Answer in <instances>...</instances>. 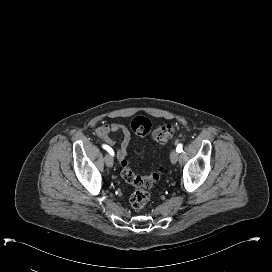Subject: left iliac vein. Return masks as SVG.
Listing matches in <instances>:
<instances>
[{
	"label": "left iliac vein",
	"mask_w": 272,
	"mask_h": 272,
	"mask_svg": "<svg viewBox=\"0 0 272 272\" xmlns=\"http://www.w3.org/2000/svg\"><path fill=\"white\" fill-rule=\"evenodd\" d=\"M179 153L176 150H173L170 155V160L173 164H175L178 161Z\"/></svg>",
	"instance_id": "obj_1"
}]
</instances>
